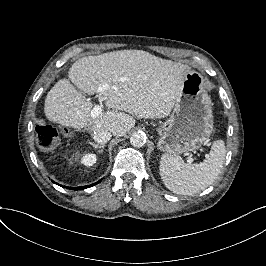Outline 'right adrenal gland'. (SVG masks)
I'll use <instances>...</instances> for the list:
<instances>
[{
	"instance_id": "obj_1",
	"label": "right adrenal gland",
	"mask_w": 266,
	"mask_h": 266,
	"mask_svg": "<svg viewBox=\"0 0 266 266\" xmlns=\"http://www.w3.org/2000/svg\"><path fill=\"white\" fill-rule=\"evenodd\" d=\"M89 144L92 145L94 148H99V149H101V150H99L100 153L103 152V149H104V147H105L104 144L99 145V144H95L94 142H89Z\"/></svg>"
}]
</instances>
